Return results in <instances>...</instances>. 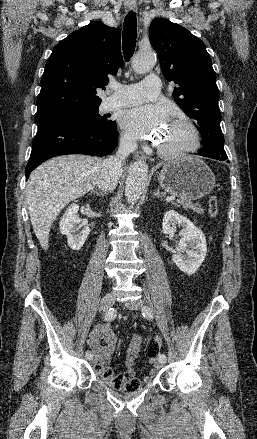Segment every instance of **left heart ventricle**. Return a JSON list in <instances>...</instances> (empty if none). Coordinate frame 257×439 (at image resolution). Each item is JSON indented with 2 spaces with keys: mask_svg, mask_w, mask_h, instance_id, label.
I'll return each mask as SVG.
<instances>
[{
  "mask_svg": "<svg viewBox=\"0 0 257 439\" xmlns=\"http://www.w3.org/2000/svg\"><path fill=\"white\" fill-rule=\"evenodd\" d=\"M191 144V135L187 128L180 125L169 124L160 140L159 145L166 149L175 150Z\"/></svg>",
  "mask_w": 257,
  "mask_h": 439,
  "instance_id": "left-heart-ventricle-1",
  "label": "left heart ventricle"
}]
</instances>
